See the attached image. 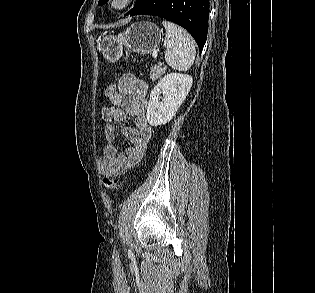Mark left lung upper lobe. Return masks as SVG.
I'll return each mask as SVG.
<instances>
[{"instance_id":"obj_1","label":"left lung upper lobe","mask_w":315,"mask_h":293,"mask_svg":"<svg viewBox=\"0 0 315 293\" xmlns=\"http://www.w3.org/2000/svg\"><path fill=\"white\" fill-rule=\"evenodd\" d=\"M107 1H108V0H99L98 5H102V4L106 3ZM143 1H144V0H137V1H136V4H135V6H134V8H133L132 10H130V11L127 13V15L130 14L134 9H136Z\"/></svg>"}]
</instances>
